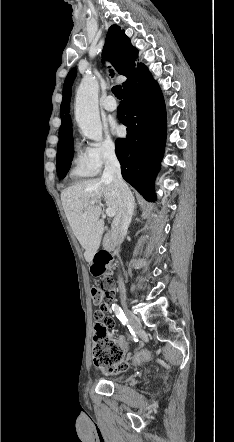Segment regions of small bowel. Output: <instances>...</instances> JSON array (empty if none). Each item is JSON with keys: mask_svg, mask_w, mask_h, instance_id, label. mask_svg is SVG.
<instances>
[{"mask_svg": "<svg viewBox=\"0 0 234 442\" xmlns=\"http://www.w3.org/2000/svg\"><path fill=\"white\" fill-rule=\"evenodd\" d=\"M109 311V306L105 309V312ZM103 311L100 308L95 313L96 320L93 324L94 331H108V329L116 328L117 327V320L115 315H108V314H101ZM119 343L122 346V349H126V342L125 339L120 337L117 339ZM143 347L142 344H138L135 348L137 350L138 348ZM134 350V351H135Z\"/></svg>", "mask_w": 234, "mask_h": 442, "instance_id": "small-bowel-1", "label": "small bowel"}]
</instances>
